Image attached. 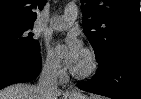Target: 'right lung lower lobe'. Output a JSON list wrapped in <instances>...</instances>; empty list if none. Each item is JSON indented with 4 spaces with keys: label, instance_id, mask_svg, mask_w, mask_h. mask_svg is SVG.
<instances>
[{
    "label": "right lung lower lobe",
    "instance_id": "1",
    "mask_svg": "<svg viewBox=\"0 0 141 99\" xmlns=\"http://www.w3.org/2000/svg\"><path fill=\"white\" fill-rule=\"evenodd\" d=\"M40 51L0 54V89L35 79L41 70Z\"/></svg>",
    "mask_w": 141,
    "mask_h": 99
}]
</instances>
